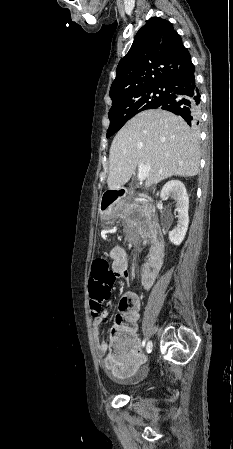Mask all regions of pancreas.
I'll list each match as a JSON object with an SVG mask.
<instances>
[{
    "label": "pancreas",
    "instance_id": "obj_1",
    "mask_svg": "<svg viewBox=\"0 0 233 449\" xmlns=\"http://www.w3.org/2000/svg\"><path fill=\"white\" fill-rule=\"evenodd\" d=\"M147 209V205L145 204H139L137 202H133L132 204L127 205L126 207V214H129L131 211L136 210L140 214H143Z\"/></svg>",
    "mask_w": 233,
    "mask_h": 449
}]
</instances>
